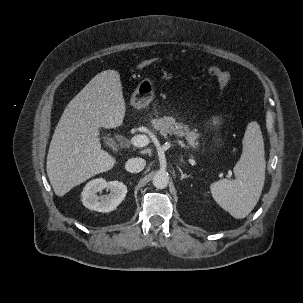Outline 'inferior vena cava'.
Returning <instances> with one entry per match:
<instances>
[{
  "instance_id": "1",
  "label": "inferior vena cava",
  "mask_w": 303,
  "mask_h": 303,
  "mask_svg": "<svg viewBox=\"0 0 303 303\" xmlns=\"http://www.w3.org/2000/svg\"><path fill=\"white\" fill-rule=\"evenodd\" d=\"M146 161L142 158H131L125 163V169L131 173H138L144 169Z\"/></svg>"
}]
</instances>
